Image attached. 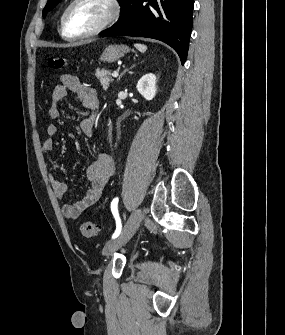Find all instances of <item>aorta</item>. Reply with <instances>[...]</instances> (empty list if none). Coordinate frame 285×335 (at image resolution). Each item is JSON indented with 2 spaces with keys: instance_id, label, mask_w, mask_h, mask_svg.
Masks as SVG:
<instances>
[{
  "instance_id": "1",
  "label": "aorta",
  "mask_w": 285,
  "mask_h": 335,
  "mask_svg": "<svg viewBox=\"0 0 285 335\" xmlns=\"http://www.w3.org/2000/svg\"><path fill=\"white\" fill-rule=\"evenodd\" d=\"M108 136L109 137H114L115 136V131L114 130H109L108 131Z\"/></svg>"
}]
</instances>
